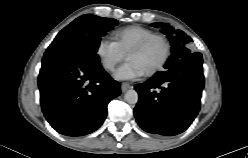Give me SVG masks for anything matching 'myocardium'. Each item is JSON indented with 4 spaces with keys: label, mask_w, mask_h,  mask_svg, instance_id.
<instances>
[{
    "label": "myocardium",
    "mask_w": 248,
    "mask_h": 158,
    "mask_svg": "<svg viewBox=\"0 0 248 158\" xmlns=\"http://www.w3.org/2000/svg\"><path fill=\"white\" fill-rule=\"evenodd\" d=\"M153 40H160L162 42L163 47H164V52H163V56L160 62L154 68L145 72L147 76H152V75L157 74L164 68V66L168 62V59L171 53V45H170L168 38L161 34L149 35L145 37L144 39H142L141 41H139L137 44H135L127 53V57H128L131 53L141 51Z\"/></svg>",
    "instance_id": "myocardium-1"
}]
</instances>
